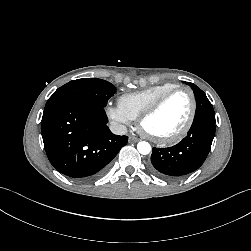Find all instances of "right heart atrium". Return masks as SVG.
I'll use <instances>...</instances> for the list:
<instances>
[{
	"instance_id": "d8ad5b80",
	"label": "right heart atrium",
	"mask_w": 251,
	"mask_h": 251,
	"mask_svg": "<svg viewBox=\"0 0 251 251\" xmlns=\"http://www.w3.org/2000/svg\"><path fill=\"white\" fill-rule=\"evenodd\" d=\"M106 115L117 127L128 126L131 122V119L124 113L119 105L108 104L106 106Z\"/></svg>"
}]
</instances>
